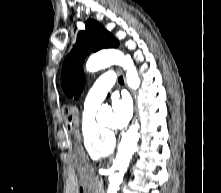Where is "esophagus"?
Returning <instances> with one entry per match:
<instances>
[{"label":"esophagus","instance_id":"1","mask_svg":"<svg viewBox=\"0 0 221 193\" xmlns=\"http://www.w3.org/2000/svg\"><path fill=\"white\" fill-rule=\"evenodd\" d=\"M120 72L122 73V70H120ZM122 75H123V73H122ZM123 78H124V81H126L125 80V77H124V75H123ZM132 97H133V104H134V116H133V119H132V123H130V126H133V122L135 121V119H136V115H137V106H136V101H135V97H134V95H133V93H132Z\"/></svg>","mask_w":221,"mask_h":193}]
</instances>
